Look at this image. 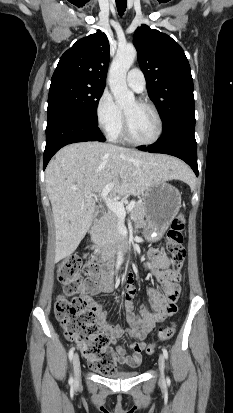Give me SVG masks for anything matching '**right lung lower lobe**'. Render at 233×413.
Instances as JSON below:
<instances>
[{"label":"right lung lower lobe","mask_w":233,"mask_h":413,"mask_svg":"<svg viewBox=\"0 0 233 413\" xmlns=\"http://www.w3.org/2000/svg\"><path fill=\"white\" fill-rule=\"evenodd\" d=\"M96 140L105 141L98 125L71 113L51 114L47 119L43 168H46L52 156L63 146Z\"/></svg>","instance_id":"obj_1"}]
</instances>
